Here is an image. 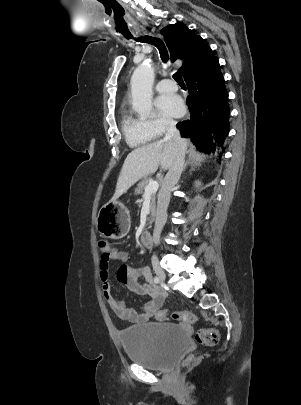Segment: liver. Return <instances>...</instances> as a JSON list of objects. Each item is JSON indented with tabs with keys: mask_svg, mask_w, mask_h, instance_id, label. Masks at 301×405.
<instances>
[{
	"mask_svg": "<svg viewBox=\"0 0 301 405\" xmlns=\"http://www.w3.org/2000/svg\"><path fill=\"white\" fill-rule=\"evenodd\" d=\"M177 152L176 144L165 140H158L131 151L124 161L111 201H116L136 182L154 174L159 167L168 170Z\"/></svg>",
	"mask_w": 301,
	"mask_h": 405,
	"instance_id": "liver-1",
	"label": "liver"
}]
</instances>
